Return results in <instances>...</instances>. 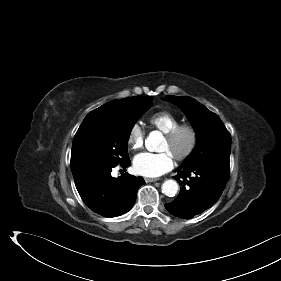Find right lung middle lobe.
Returning <instances> with one entry per match:
<instances>
[{
  "label": "right lung middle lobe",
  "instance_id": "dd1d6c3e",
  "mask_svg": "<svg viewBox=\"0 0 281 281\" xmlns=\"http://www.w3.org/2000/svg\"><path fill=\"white\" fill-rule=\"evenodd\" d=\"M151 97H137L108 113L90 112L76 132L71 150V170L117 165L129 159L128 140L137 119L152 105Z\"/></svg>",
  "mask_w": 281,
  "mask_h": 281
}]
</instances>
